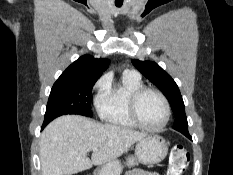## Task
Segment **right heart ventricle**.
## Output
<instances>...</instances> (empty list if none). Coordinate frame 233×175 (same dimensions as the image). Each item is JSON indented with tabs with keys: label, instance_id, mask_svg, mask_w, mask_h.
Wrapping results in <instances>:
<instances>
[{
	"label": "right heart ventricle",
	"instance_id": "right-heart-ventricle-1",
	"mask_svg": "<svg viewBox=\"0 0 233 175\" xmlns=\"http://www.w3.org/2000/svg\"><path fill=\"white\" fill-rule=\"evenodd\" d=\"M142 86L141 78L129 73H124L117 85H112L108 79L106 87L96 100L99 117L114 127L135 129L137 125L129 115L128 102L131 93Z\"/></svg>",
	"mask_w": 233,
	"mask_h": 175
}]
</instances>
